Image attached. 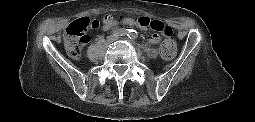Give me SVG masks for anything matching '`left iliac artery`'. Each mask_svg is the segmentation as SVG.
Returning <instances> with one entry per match:
<instances>
[{
	"label": "left iliac artery",
	"instance_id": "left-iliac-artery-1",
	"mask_svg": "<svg viewBox=\"0 0 255 122\" xmlns=\"http://www.w3.org/2000/svg\"><path fill=\"white\" fill-rule=\"evenodd\" d=\"M134 37H135V36H134L133 33H131L130 36H129V38H134Z\"/></svg>",
	"mask_w": 255,
	"mask_h": 122
}]
</instances>
